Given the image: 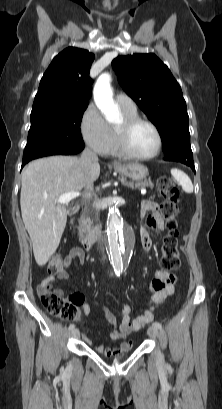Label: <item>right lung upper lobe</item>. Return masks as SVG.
Masks as SVG:
<instances>
[{"instance_id": "right-lung-upper-lobe-1", "label": "right lung upper lobe", "mask_w": 222, "mask_h": 409, "mask_svg": "<svg viewBox=\"0 0 222 409\" xmlns=\"http://www.w3.org/2000/svg\"><path fill=\"white\" fill-rule=\"evenodd\" d=\"M94 55L68 47L54 57L44 73L32 109L59 104H88L92 80L88 77Z\"/></svg>"}]
</instances>
